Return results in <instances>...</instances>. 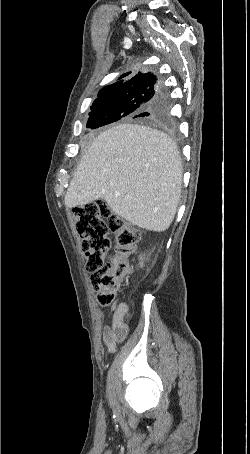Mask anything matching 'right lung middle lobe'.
I'll return each mask as SVG.
<instances>
[{
  "label": "right lung middle lobe",
  "mask_w": 250,
  "mask_h": 454,
  "mask_svg": "<svg viewBox=\"0 0 250 454\" xmlns=\"http://www.w3.org/2000/svg\"><path fill=\"white\" fill-rule=\"evenodd\" d=\"M159 85H141L112 96L94 101L88 119L87 128L95 129L121 119H136L154 124H164L168 119H161L149 111L153 102L160 96Z\"/></svg>",
  "instance_id": "1"
}]
</instances>
